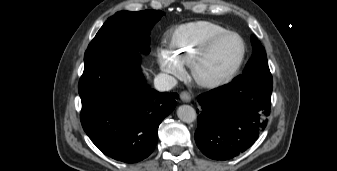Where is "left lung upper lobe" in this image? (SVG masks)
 Listing matches in <instances>:
<instances>
[{
    "label": "left lung upper lobe",
    "instance_id": "1",
    "mask_svg": "<svg viewBox=\"0 0 337 171\" xmlns=\"http://www.w3.org/2000/svg\"><path fill=\"white\" fill-rule=\"evenodd\" d=\"M252 46V57L248 61L243 74L239 75L234 80L236 81L246 78H254L272 81L265 49L255 36H252Z\"/></svg>",
    "mask_w": 337,
    "mask_h": 171
}]
</instances>
